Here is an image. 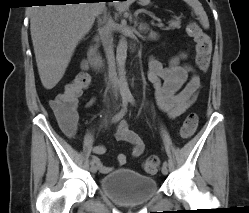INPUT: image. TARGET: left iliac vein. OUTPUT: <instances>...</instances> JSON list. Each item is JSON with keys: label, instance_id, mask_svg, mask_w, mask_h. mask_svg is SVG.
Listing matches in <instances>:
<instances>
[{"label": "left iliac vein", "instance_id": "left-iliac-vein-1", "mask_svg": "<svg viewBox=\"0 0 249 213\" xmlns=\"http://www.w3.org/2000/svg\"><path fill=\"white\" fill-rule=\"evenodd\" d=\"M161 171H162V174L167 175L168 174L167 166L163 165Z\"/></svg>", "mask_w": 249, "mask_h": 213}]
</instances>
